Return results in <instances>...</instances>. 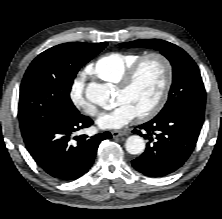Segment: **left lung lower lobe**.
I'll return each instance as SVG.
<instances>
[{
    "label": "left lung lower lobe",
    "mask_w": 222,
    "mask_h": 219,
    "mask_svg": "<svg viewBox=\"0 0 222 219\" xmlns=\"http://www.w3.org/2000/svg\"><path fill=\"white\" fill-rule=\"evenodd\" d=\"M203 121L204 114L176 108L138 126L133 133L149 142L145 152L132 161V166L150 177L174 172L185 163L196 146ZM141 130L147 134H142Z\"/></svg>",
    "instance_id": "0a47b994"
}]
</instances>
